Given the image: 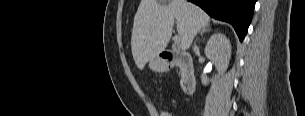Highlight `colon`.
Instances as JSON below:
<instances>
[{"label": "colon", "mask_w": 305, "mask_h": 116, "mask_svg": "<svg viewBox=\"0 0 305 116\" xmlns=\"http://www.w3.org/2000/svg\"><path fill=\"white\" fill-rule=\"evenodd\" d=\"M155 111H156V116H173V114L170 111L160 107H155Z\"/></svg>", "instance_id": "colon-1"}]
</instances>
